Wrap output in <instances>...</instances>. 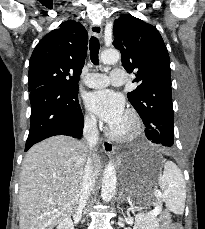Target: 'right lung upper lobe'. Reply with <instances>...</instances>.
<instances>
[{
    "instance_id": "cb5924a9",
    "label": "right lung upper lobe",
    "mask_w": 205,
    "mask_h": 229,
    "mask_svg": "<svg viewBox=\"0 0 205 229\" xmlns=\"http://www.w3.org/2000/svg\"><path fill=\"white\" fill-rule=\"evenodd\" d=\"M87 39L85 28L72 20L44 36L31 55L28 90L49 84L62 85L63 79L77 83L85 63Z\"/></svg>"
}]
</instances>
